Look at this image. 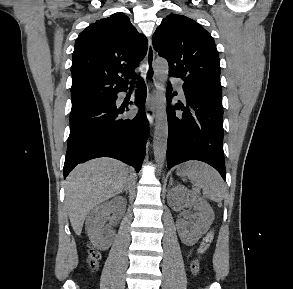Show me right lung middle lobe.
<instances>
[{
	"label": "right lung middle lobe",
	"mask_w": 293,
	"mask_h": 289,
	"mask_svg": "<svg viewBox=\"0 0 293 289\" xmlns=\"http://www.w3.org/2000/svg\"><path fill=\"white\" fill-rule=\"evenodd\" d=\"M108 99H110V98L91 99V100H86V101H82V102L72 103L70 117H73V116H76V115L81 114L83 112H86V111L98 106L99 104L105 102Z\"/></svg>",
	"instance_id": "1"
}]
</instances>
